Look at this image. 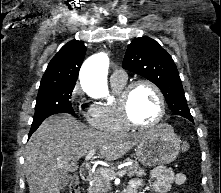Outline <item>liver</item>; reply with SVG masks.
<instances>
[{
	"label": "liver",
	"mask_w": 221,
	"mask_h": 193,
	"mask_svg": "<svg viewBox=\"0 0 221 193\" xmlns=\"http://www.w3.org/2000/svg\"><path fill=\"white\" fill-rule=\"evenodd\" d=\"M151 131L112 134L88 128L69 114L48 117L26 145L25 175L30 193H60V181L78 168L80 158L98 149L106 161L117 160Z\"/></svg>",
	"instance_id": "6515ba94"
}]
</instances>
